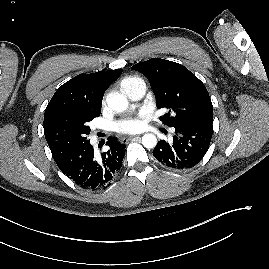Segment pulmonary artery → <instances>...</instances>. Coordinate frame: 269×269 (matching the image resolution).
Instances as JSON below:
<instances>
[{"mask_svg": "<svg viewBox=\"0 0 269 269\" xmlns=\"http://www.w3.org/2000/svg\"><path fill=\"white\" fill-rule=\"evenodd\" d=\"M146 92V86L143 81L134 84L125 94L133 101L140 100Z\"/></svg>", "mask_w": 269, "mask_h": 269, "instance_id": "1", "label": "pulmonary artery"}]
</instances>
